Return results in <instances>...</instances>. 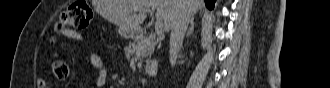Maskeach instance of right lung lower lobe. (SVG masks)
I'll use <instances>...</instances> for the list:
<instances>
[{"instance_id": "right-lung-lower-lobe-1", "label": "right lung lower lobe", "mask_w": 330, "mask_h": 88, "mask_svg": "<svg viewBox=\"0 0 330 88\" xmlns=\"http://www.w3.org/2000/svg\"><path fill=\"white\" fill-rule=\"evenodd\" d=\"M208 9H213L216 0H204Z\"/></svg>"}]
</instances>
